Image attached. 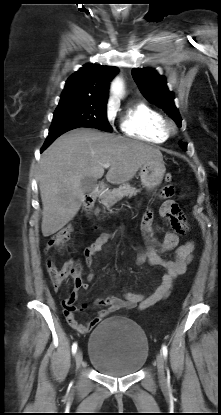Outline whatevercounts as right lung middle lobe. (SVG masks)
Wrapping results in <instances>:
<instances>
[{"mask_svg": "<svg viewBox=\"0 0 221 415\" xmlns=\"http://www.w3.org/2000/svg\"><path fill=\"white\" fill-rule=\"evenodd\" d=\"M106 102L91 98L61 97L49 132L89 127L112 132L106 117Z\"/></svg>", "mask_w": 221, "mask_h": 415, "instance_id": "1", "label": "right lung middle lobe"}]
</instances>
